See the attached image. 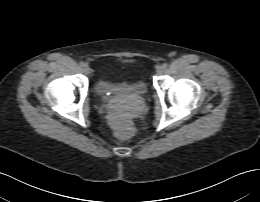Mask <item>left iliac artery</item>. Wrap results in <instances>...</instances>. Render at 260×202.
<instances>
[{"instance_id":"obj_1","label":"left iliac artery","mask_w":260,"mask_h":202,"mask_svg":"<svg viewBox=\"0 0 260 202\" xmlns=\"http://www.w3.org/2000/svg\"><path fill=\"white\" fill-rule=\"evenodd\" d=\"M162 66H163L164 69H166L168 67V64L164 63Z\"/></svg>"}]
</instances>
